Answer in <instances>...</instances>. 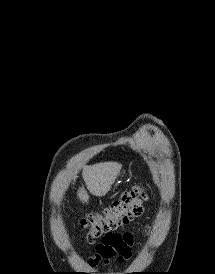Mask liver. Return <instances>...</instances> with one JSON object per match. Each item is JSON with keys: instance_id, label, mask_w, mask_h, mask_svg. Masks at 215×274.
<instances>
[{"instance_id": "obj_1", "label": "liver", "mask_w": 215, "mask_h": 274, "mask_svg": "<svg viewBox=\"0 0 215 274\" xmlns=\"http://www.w3.org/2000/svg\"><path fill=\"white\" fill-rule=\"evenodd\" d=\"M121 168V164L117 162H103L87 166L82 172L83 180L91 194L103 197L110 191ZM78 197L82 202L88 203L89 195L84 187L78 190Z\"/></svg>"}]
</instances>
